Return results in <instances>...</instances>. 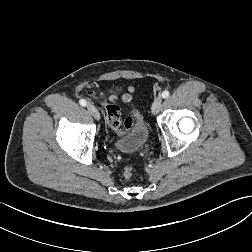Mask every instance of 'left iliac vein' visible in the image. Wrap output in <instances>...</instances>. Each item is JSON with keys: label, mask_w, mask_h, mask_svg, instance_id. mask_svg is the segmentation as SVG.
Segmentation results:
<instances>
[{"label": "left iliac vein", "mask_w": 252, "mask_h": 252, "mask_svg": "<svg viewBox=\"0 0 252 252\" xmlns=\"http://www.w3.org/2000/svg\"><path fill=\"white\" fill-rule=\"evenodd\" d=\"M162 107V98L161 97H158L155 99V101L153 102V105H152V113L153 114H157L160 109Z\"/></svg>", "instance_id": "1"}]
</instances>
